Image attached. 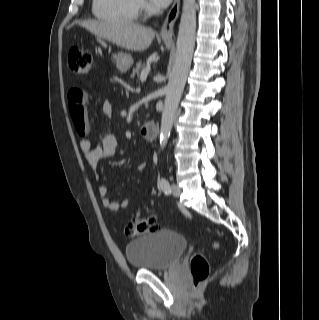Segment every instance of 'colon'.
Returning <instances> with one entry per match:
<instances>
[{"label":"colon","instance_id":"5ec220e1","mask_svg":"<svg viewBox=\"0 0 319 320\" xmlns=\"http://www.w3.org/2000/svg\"><path fill=\"white\" fill-rule=\"evenodd\" d=\"M93 62L92 54L79 48H71L68 54V66L75 75H87ZM77 133L83 136L87 133L83 125L75 126ZM159 227L157 214H151L146 218L135 217L127 227L129 237H137L143 233L153 232ZM213 248H218L219 242L216 239L211 243ZM191 274L195 286L203 282L210 273V265L202 254H195L190 263Z\"/></svg>","mask_w":319,"mask_h":320}]
</instances>
